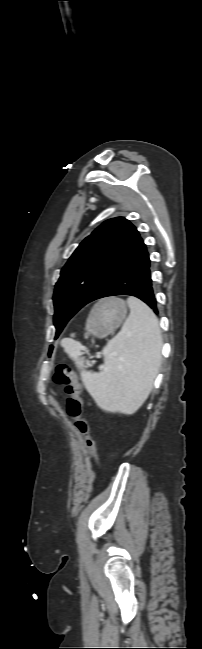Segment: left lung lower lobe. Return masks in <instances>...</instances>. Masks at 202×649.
<instances>
[{
    "mask_svg": "<svg viewBox=\"0 0 202 649\" xmlns=\"http://www.w3.org/2000/svg\"><path fill=\"white\" fill-rule=\"evenodd\" d=\"M115 295H131L144 301L158 314L153 293L151 261L140 235L96 291L93 300ZM92 300V301H93ZM53 347H50L51 353Z\"/></svg>",
    "mask_w": 202,
    "mask_h": 649,
    "instance_id": "0a47b994",
    "label": "left lung lower lobe"
}]
</instances>
